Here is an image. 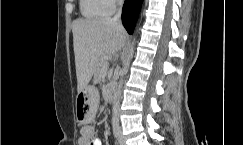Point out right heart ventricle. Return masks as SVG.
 I'll list each match as a JSON object with an SVG mask.
<instances>
[{"label":"right heart ventricle","mask_w":243,"mask_h":145,"mask_svg":"<svg viewBox=\"0 0 243 145\" xmlns=\"http://www.w3.org/2000/svg\"><path fill=\"white\" fill-rule=\"evenodd\" d=\"M80 10L86 18L105 17L112 12V8L105 0H80Z\"/></svg>","instance_id":"1"}]
</instances>
